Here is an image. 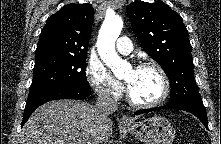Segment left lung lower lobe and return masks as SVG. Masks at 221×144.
<instances>
[{
	"mask_svg": "<svg viewBox=\"0 0 221 144\" xmlns=\"http://www.w3.org/2000/svg\"><path fill=\"white\" fill-rule=\"evenodd\" d=\"M161 109H178V110L190 112L194 114L196 117H198L202 121L204 126L208 128V120H207L206 109L204 105H196V104H192L188 102H174V103L170 102L169 104L163 105L158 108L138 110L137 112L134 113V115H139V114L161 110Z\"/></svg>",
	"mask_w": 221,
	"mask_h": 144,
	"instance_id": "obj_1",
	"label": "left lung lower lobe"
}]
</instances>
